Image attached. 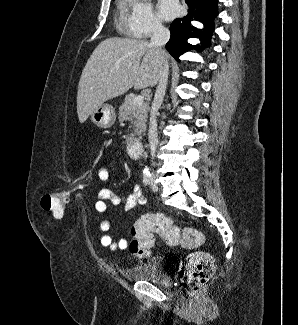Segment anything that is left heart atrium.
Instances as JSON below:
<instances>
[{
	"mask_svg": "<svg viewBox=\"0 0 298 325\" xmlns=\"http://www.w3.org/2000/svg\"><path fill=\"white\" fill-rule=\"evenodd\" d=\"M180 11V6L177 0H160L159 16L166 21L176 17Z\"/></svg>",
	"mask_w": 298,
	"mask_h": 325,
	"instance_id": "left-heart-atrium-1",
	"label": "left heart atrium"
}]
</instances>
